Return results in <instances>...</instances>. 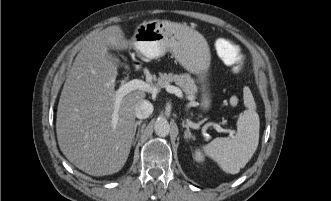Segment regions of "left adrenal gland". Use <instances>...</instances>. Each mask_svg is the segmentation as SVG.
<instances>
[{
	"label": "left adrenal gland",
	"instance_id": "obj_1",
	"mask_svg": "<svg viewBox=\"0 0 331 201\" xmlns=\"http://www.w3.org/2000/svg\"><path fill=\"white\" fill-rule=\"evenodd\" d=\"M182 126H183L184 128H186V130H185V132H184V138L187 139V140H188V139H193V140H195V137L191 134L188 125H186L184 121H182Z\"/></svg>",
	"mask_w": 331,
	"mask_h": 201
}]
</instances>
